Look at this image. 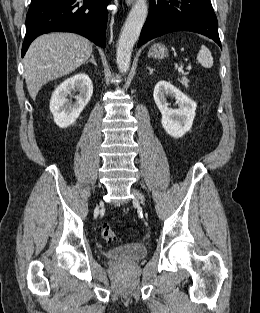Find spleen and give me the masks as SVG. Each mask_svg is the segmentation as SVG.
Here are the masks:
<instances>
[{"instance_id":"1","label":"spleen","mask_w":260,"mask_h":313,"mask_svg":"<svg viewBox=\"0 0 260 313\" xmlns=\"http://www.w3.org/2000/svg\"><path fill=\"white\" fill-rule=\"evenodd\" d=\"M197 61L205 68H211L213 66L211 52L204 45L201 46V49L197 54Z\"/></svg>"}]
</instances>
